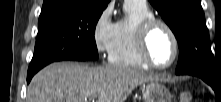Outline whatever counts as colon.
<instances>
[{
	"label": "colon",
	"instance_id": "obj_1",
	"mask_svg": "<svg viewBox=\"0 0 221 102\" xmlns=\"http://www.w3.org/2000/svg\"><path fill=\"white\" fill-rule=\"evenodd\" d=\"M180 102H192V96L189 92H183L180 97Z\"/></svg>",
	"mask_w": 221,
	"mask_h": 102
}]
</instances>
